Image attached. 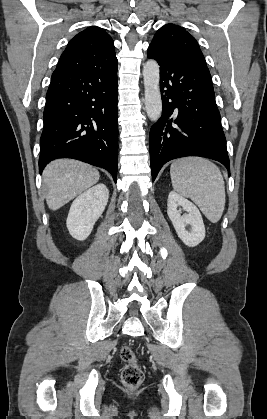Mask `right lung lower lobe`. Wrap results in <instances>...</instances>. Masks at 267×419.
Instances as JSON below:
<instances>
[{"label": "right lung lower lobe", "instance_id": "98d812e1", "mask_svg": "<svg viewBox=\"0 0 267 419\" xmlns=\"http://www.w3.org/2000/svg\"><path fill=\"white\" fill-rule=\"evenodd\" d=\"M117 62L88 70H55L46 94L39 170L74 158L109 171L116 182Z\"/></svg>", "mask_w": 267, "mask_h": 419}]
</instances>
